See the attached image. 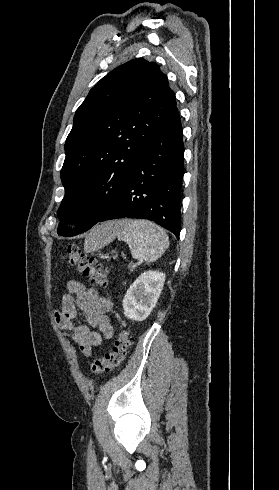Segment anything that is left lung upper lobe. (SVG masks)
I'll list each match as a JSON object with an SVG mask.
<instances>
[{
	"mask_svg": "<svg viewBox=\"0 0 279 490\" xmlns=\"http://www.w3.org/2000/svg\"><path fill=\"white\" fill-rule=\"evenodd\" d=\"M175 108L167 76L142 58L117 67L90 90L65 143L59 235L87 231L113 208L144 144ZM77 220L75 229L66 226Z\"/></svg>",
	"mask_w": 279,
	"mask_h": 490,
	"instance_id": "1",
	"label": "left lung upper lobe"
}]
</instances>
